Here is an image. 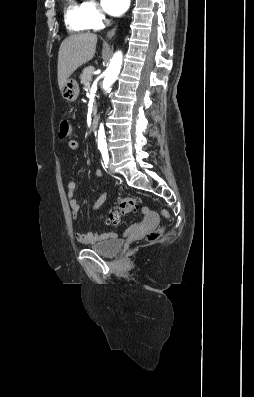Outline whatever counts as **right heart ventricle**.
<instances>
[{
    "label": "right heart ventricle",
    "instance_id": "obj_1",
    "mask_svg": "<svg viewBox=\"0 0 254 397\" xmlns=\"http://www.w3.org/2000/svg\"><path fill=\"white\" fill-rule=\"evenodd\" d=\"M65 1L64 19L67 29L75 33L91 29L85 18L84 3H79L77 0Z\"/></svg>",
    "mask_w": 254,
    "mask_h": 397
}]
</instances>
